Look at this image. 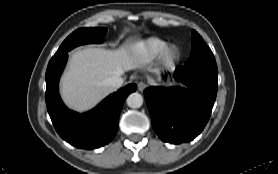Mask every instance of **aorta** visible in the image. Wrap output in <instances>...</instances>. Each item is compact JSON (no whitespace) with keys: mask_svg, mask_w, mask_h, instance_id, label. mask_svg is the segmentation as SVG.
Returning <instances> with one entry per match:
<instances>
[{"mask_svg":"<svg viewBox=\"0 0 278 174\" xmlns=\"http://www.w3.org/2000/svg\"><path fill=\"white\" fill-rule=\"evenodd\" d=\"M126 102L130 108H140L143 104V97L141 94L134 92L127 97Z\"/></svg>","mask_w":278,"mask_h":174,"instance_id":"obj_1","label":"aorta"}]
</instances>
